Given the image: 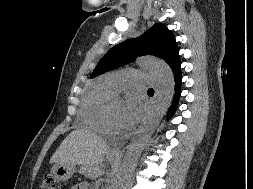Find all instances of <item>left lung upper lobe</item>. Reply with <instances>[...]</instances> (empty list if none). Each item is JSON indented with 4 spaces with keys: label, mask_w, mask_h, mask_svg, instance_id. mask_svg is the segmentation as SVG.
Masks as SVG:
<instances>
[{
    "label": "left lung upper lobe",
    "mask_w": 253,
    "mask_h": 189,
    "mask_svg": "<svg viewBox=\"0 0 253 189\" xmlns=\"http://www.w3.org/2000/svg\"><path fill=\"white\" fill-rule=\"evenodd\" d=\"M154 55L165 60L173 70L179 63V50L172 32L160 23L154 24L138 38L112 47L99 61L91 78L135 60L137 56Z\"/></svg>",
    "instance_id": "obj_1"
}]
</instances>
